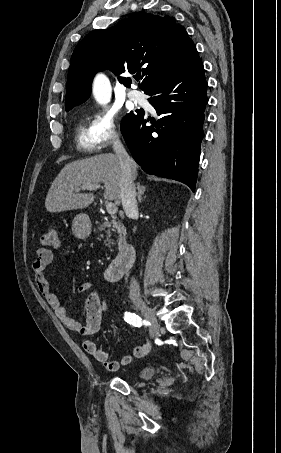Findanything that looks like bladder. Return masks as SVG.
Segmentation results:
<instances>
[{
  "mask_svg": "<svg viewBox=\"0 0 281 453\" xmlns=\"http://www.w3.org/2000/svg\"><path fill=\"white\" fill-rule=\"evenodd\" d=\"M156 371L157 369L154 366H146L138 371L137 376L139 378H150Z\"/></svg>",
  "mask_w": 281,
  "mask_h": 453,
  "instance_id": "bladder-1",
  "label": "bladder"
}]
</instances>
